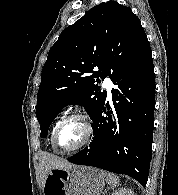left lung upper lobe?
<instances>
[{"label": "left lung upper lobe", "mask_w": 178, "mask_h": 195, "mask_svg": "<svg viewBox=\"0 0 178 195\" xmlns=\"http://www.w3.org/2000/svg\"><path fill=\"white\" fill-rule=\"evenodd\" d=\"M149 51L140 20L116 1L96 5L64 29L41 74L36 105L40 136H47L57 112L70 104L84 106L94 120L106 99L96 83L106 76L114 82Z\"/></svg>", "instance_id": "obj_1"}]
</instances>
